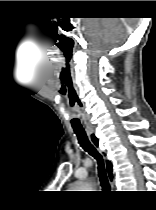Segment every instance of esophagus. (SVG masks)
I'll return each mask as SVG.
<instances>
[{"label":"esophagus","instance_id":"34e87169","mask_svg":"<svg viewBox=\"0 0 156 210\" xmlns=\"http://www.w3.org/2000/svg\"><path fill=\"white\" fill-rule=\"evenodd\" d=\"M88 137H89L91 143L100 152V154L102 155V157L104 159L108 181H109L110 186L112 187L113 183H114L113 163L110 160V158L108 157V154H107L106 150L102 147V145H101L97 135L95 134V132L89 131L88 132Z\"/></svg>","mask_w":156,"mask_h":210}]
</instances>
